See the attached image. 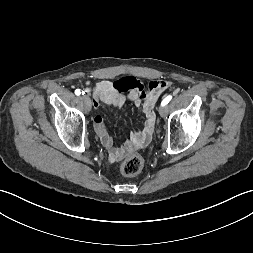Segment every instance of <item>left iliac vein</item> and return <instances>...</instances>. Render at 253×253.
Listing matches in <instances>:
<instances>
[{"label": "left iliac vein", "instance_id": "1", "mask_svg": "<svg viewBox=\"0 0 253 253\" xmlns=\"http://www.w3.org/2000/svg\"><path fill=\"white\" fill-rule=\"evenodd\" d=\"M158 111H159V114L162 116V117H164V116H166V114L168 113V108L166 107V106H160L159 107V109H158Z\"/></svg>", "mask_w": 253, "mask_h": 253}]
</instances>
